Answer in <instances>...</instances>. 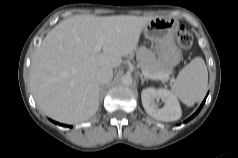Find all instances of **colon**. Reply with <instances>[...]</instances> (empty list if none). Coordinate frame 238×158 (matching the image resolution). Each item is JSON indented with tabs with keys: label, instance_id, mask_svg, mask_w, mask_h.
I'll list each match as a JSON object with an SVG mask.
<instances>
[{
	"label": "colon",
	"instance_id": "obj_1",
	"mask_svg": "<svg viewBox=\"0 0 238 158\" xmlns=\"http://www.w3.org/2000/svg\"><path fill=\"white\" fill-rule=\"evenodd\" d=\"M177 42L183 49H189L192 46L193 38L184 28H180L177 33Z\"/></svg>",
	"mask_w": 238,
	"mask_h": 158
}]
</instances>
